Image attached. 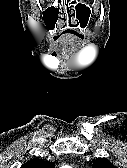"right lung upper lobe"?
Listing matches in <instances>:
<instances>
[{
	"mask_svg": "<svg viewBox=\"0 0 127 168\" xmlns=\"http://www.w3.org/2000/svg\"><path fill=\"white\" fill-rule=\"evenodd\" d=\"M55 163L50 161H42L39 158L31 159L24 163L21 168H54Z\"/></svg>",
	"mask_w": 127,
	"mask_h": 168,
	"instance_id": "obj_1",
	"label": "right lung upper lobe"
}]
</instances>
